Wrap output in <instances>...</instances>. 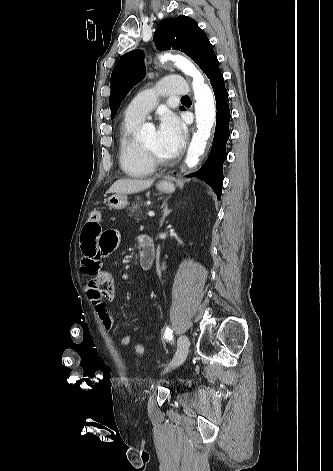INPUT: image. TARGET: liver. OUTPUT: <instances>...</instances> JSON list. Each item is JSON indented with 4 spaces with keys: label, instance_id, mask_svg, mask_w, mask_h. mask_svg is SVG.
<instances>
[{
    "label": "liver",
    "instance_id": "obj_1",
    "mask_svg": "<svg viewBox=\"0 0 333 471\" xmlns=\"http://www.w3.org/2000/svg\"><path fill=\"white\" fill-rule=\"evenodd\" d=\"M154 182V179L148 180H133V179H120L117 180L108 190L109 193L116 194H131L137 193L144 189L149 188Z\"/></svg>",
    "mask_w": 333,
    "mask_h": 471
}]
</instances>
